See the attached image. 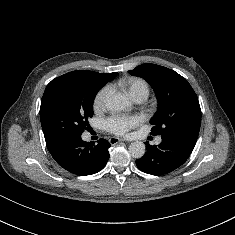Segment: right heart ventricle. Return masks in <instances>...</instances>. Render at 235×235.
Returning a JSON list of instances; mask_svg holds the SVG:
<instances>
[{
  "label": "right heart ventricle",
  "instance_id": "obj_1",
  "mask_svg": "<svg viewBox=\"0 0 235 235\" xmlns=\"http://www.w3.org/2000/svg\"><path fill=\"white\" fill-rule=\"evenodd\" d=\"M118 85L124 88L134 99L138 96L147 97L149 94L148 84L138 77H130L128 79L120 80Z\"/></svg>",
  "mask_w": 235,
  "mask_h": 235
}]
</instances>
